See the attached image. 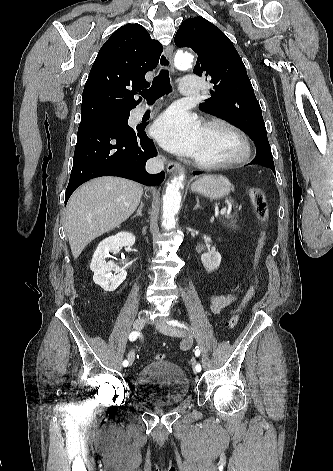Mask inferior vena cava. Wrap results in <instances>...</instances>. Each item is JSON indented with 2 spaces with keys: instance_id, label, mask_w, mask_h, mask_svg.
Instances as JSON below:
<instances>
[{
  "instance_id": "inferior-vena-cava-1",
  "label": "inferior vena cava",
  "mask_w": 333,
  "mask_h": 471,
  "mask_svg": "<svg viewBox=\"0 0 333 471\" xmlns=\"http://www.w3.org/2000/svg\"><path fill=\"white\" fill-rule=\"evenodd\" d=\"M164 158L155 157L146 163V170L151 174L159 173L164 168Z\"/></svg>"
}]
</instances>
